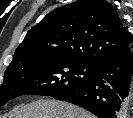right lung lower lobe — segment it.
I'll use <instances>...</instances> for the list:
<instances>
[{"instance_id": "98d812e1", "label": "right lung lower lobe", "mask_w": 133, "mask_h": 118, "mask_svg": "<svg viewBox=\"0 0 133 118\" xmlns=\"http://www.w3.org/2000/svg\"><path fill=\"white\" fill-rule=\"evenodd\" d=\"M133 55L130 47L95 67L86 84L54 98L78 105L99 118H124L130 104Z\"/></svg>"}]
</instances>
